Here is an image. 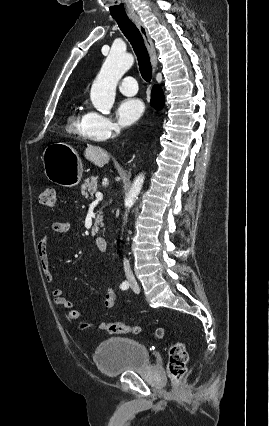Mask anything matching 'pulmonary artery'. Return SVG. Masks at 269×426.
Instances as JSON below:
<instances>
[{
	"instance_id": "1",
	"label": "pulmonary artery",
	"mask_w": 269,
	"mask_h": 426,
	"mask_svg": "<svg viewBox=\"0 0 269 426\" xmlns=\"http://www.w3.org/2000/svg\"><path fill=\"white\" fill-rule=\"evenodd\" d=\"M119 90L121 93L127 96L135 95L138 91L137 82L134 77L132 76H125L120 82H119Z\"/></svg>"
}]
</instances>
